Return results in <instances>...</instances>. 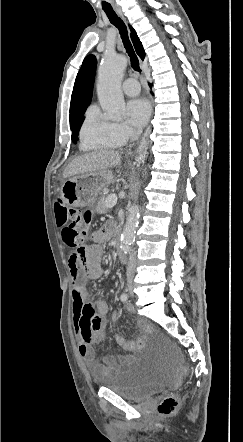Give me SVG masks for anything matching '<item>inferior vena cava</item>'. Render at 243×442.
<instances>
[{
  "label": "inferior vena cava",
  "instance_id": "inferior-vena-cava-1",
  "mask_svg": "<svg viewBox=\"0 0 243 442\" xmlns=\"http://www.w3.org/2000/svg\"><path fill=\"white\" fill-rule=\"evenodd\" d=\"M140 134V131H136L133 135L132 140H136ZM136 271V253L132 251L129 257V262L127 265V278L132 279Z\"/></svg>",
  "mask_w": 243,
  "mask_h": 442
}]
</instances>
